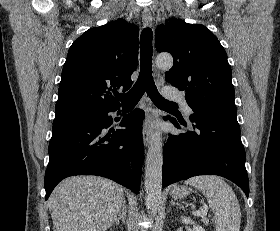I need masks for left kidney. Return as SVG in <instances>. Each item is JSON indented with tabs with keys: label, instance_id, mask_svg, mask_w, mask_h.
Segmentation results:
<instances>
[{
	"label": "left kidney",
	"instance_id": "1",
	"mask_svg": "<svg viewBox=\"0 0 280 231\" xmlns=\"http://www.w3.org/2000/svg\"><path fill=\"white\" fill-rule=\"evenodd\" d=\"M181 221H183V223H193V231H205L204 227H202V225H197L191 217H184V215H182Z\"/></svg>",
	"mask_w": 280,
	"mask_h": 231
}]
</instances>
